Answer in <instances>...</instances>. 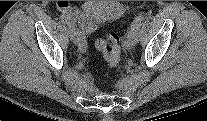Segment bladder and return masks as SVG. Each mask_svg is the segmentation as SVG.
Listing matches in <instances>:
<instances>
[{"label": "bladder", "mask_w": 207, "mask_h": 121, "mask_svg": "<svg viewBox=\"0 0 207 121\" xmlns=\"http://www.w3.org/2000/svg\"><path fill=\"white\" fill-rule=\"evenodd\" d=\"M124 10L119 1H86L83 5L86 18L95 25L118 19Z\"/></svg>", "instance_id": "31cf9c89"}]
</instances>
